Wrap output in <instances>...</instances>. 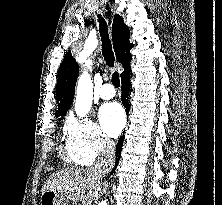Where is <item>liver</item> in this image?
<instances>
[{"label": "liver", "mask_w": 222, "mask_h": 205, "mask_svg": "<svg viewBox=\"0 0 222 205\" xmlns=\"http://www.w3.org/2000/svg\"><path fill=\"white\" fill-rule=\"evenodd\" d=\"M102 175L94 169L67 168L51 175L44 186L45 191L56 192L64 200L91 205L101 189Z\"/></svg>", "instance_id": "1"}]
</instances>
